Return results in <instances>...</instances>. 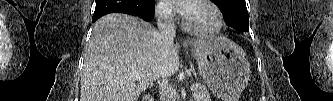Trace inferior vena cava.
Listing matches in <instances>:
<instances>
[{"instance_id":"obj_1","label":"inferior vena cava","mask_w":333,"mask_h":101,"mask_svg":"<svg viewBox=\"0 0 333 101\" xmlns=\"http://www.w3.org/2000/svg\"><path fill=\"white\" fill-rule=\"evenodd\" d=\"M157 25L163 51L167 52L173 45V38L176 33V26L171 14L167 11L159 12L157 14ZM167 83L168 79L165 76H163L158 82L160 88V101H165Z\"/></svg>"}]
</instances>
